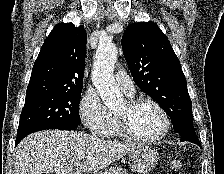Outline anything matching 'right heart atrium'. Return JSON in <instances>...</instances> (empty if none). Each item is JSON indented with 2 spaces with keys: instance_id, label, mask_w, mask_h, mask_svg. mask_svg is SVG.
<instances>
[{
  "instance_id": "1",
  "label": "right heart atrium",
  "mask_w": 224,
  "mask_h": 174,
  "mask_svg": "<svg viewBox=\"0 0 224 174\" xmlns=\"http://www.w3.org/2000/svg\"><path fill=\"white\" fill-rule=\"evenodd\" d=\"M79 112L83 124L91 133L106 136L111 130L113 117L96 92L86 91L80 101Z\"/></svg>"
}]
</instances>
